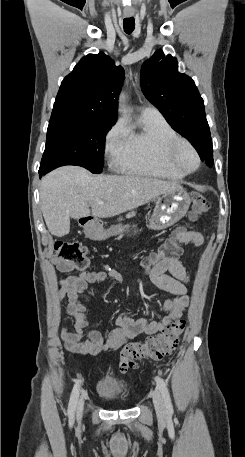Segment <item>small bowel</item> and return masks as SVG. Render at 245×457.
Segmentation results:
<instances>
[{
    "label": "small bowel",
    "instance_id": "c3829d8e",
    "mask_svg": "<svg viewBox=\"0 0 245 457\" xmlns=\"http://www.w3.org/2000/svg\"><path fill=\"white\" fill-rule=\"evenodd\" d=\"M177 238L180 244H193L198 247L203 244V236L196 230L181 229L177 232ZM52 262L60 272L75 269V265L68 261L53 259ZM107 277L122 281L119 272L107 268L99 271L85 270L58 282L59 295L67 298V313L74 319L73 331H68L64 327L60 329L65 348L71 353L95 356L103 351H114L137 336L161 332L178 320L189 306L190 299L186 286L190 281L188 272L176 258L165 259L156 264L149 273V278L156 287L175 296L163 302V318L160 321H150L144 317L133 319L124 311L115 319L116 327L103 338L99 331L87 329V312L80 296L88 284L102 282Z\"/></svg>",
    "mask_w": 245,
    "mask_h": 457
}]
</instances>
